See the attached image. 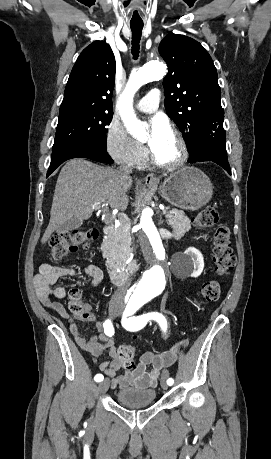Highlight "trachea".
Instances as JSON below:
<instances>
[{
	"label": "trachea",
	"mask_w": 271,
	"mask_h": 459,
	"mask_svg": "<svg viewBox=\"0 0 271 459\" xmlns=\"http://www.w3.org/2000/svg\"><path fill=\"white\" fill-rule=\"evenodd\" d=\"M132 31V54L133 58L137 59L140 50V39L143 30V24L130 25Z\"/></svg>",
	"instance_id": "obj_1"
}]
</instances>
